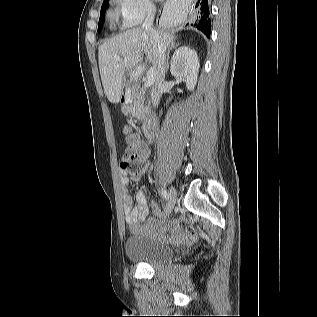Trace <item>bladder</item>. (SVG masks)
Returning <instances> with one entry per match:
<instances>
[{"label": "bladder", "mask_w": 317, "mask_h": 317, "mask_svg": "<svg viewBox=\"0 0 317 317\" xmlns=\"http://www.w3.org/2000/svg\"><path fill=\"white\" fill-rule=\"evenodd\" d=\"M125 253L129 260L157 265L174 259V248L157 242L141 233H134L125 244Z\"/></svg>", "instance_id": "31cf9c89"}]
</instances>
